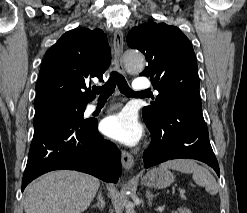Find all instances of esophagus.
Returning a JSON list of instances; mask_svg holds the SVG:
<instances>
[{"mask_svg":"<svg viewBox=\"0 0 247 213\" xmlns=\"http://www.w3.org/2000/svg\"><path fill=\"white\" fill-rule=\"evenodd\" d=\"M123 33L120 30H116L114 32V37H113V46H114V65L116 70L124 74V67L122 63V54H123ZM121 160H122V166L125 170H130L133 167L134 164V158L133 156L123 150L121 153Z\"/></svg>","mask_w":247,"mask_h":213,"instance_id":"obj_1","label":"esophagus"}]
</instances>
